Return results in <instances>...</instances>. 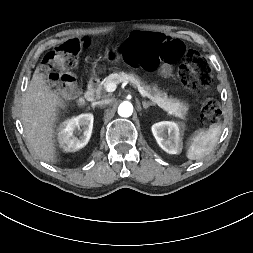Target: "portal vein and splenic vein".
I'll list each match as a JSON object with an SVG mask.
<instances>
[{
    "mask_svg": "<svg viewBox=\"0 0 253 253\" xmlns=\"http://www.w3.org/2000/svg\"><path fill=\"white\" fill-rule=\"evenodd\" d=\"M132 83V82H131ZM133 85L135 86V87H137V89H138V91L140 92V94L142 95V96H145V91H144V89L140 86V85H136V84H134L133 83ZM116 88H117V85L115 84V83H109L108 85H107V87H106V91L107 92H114L115 90H116ZM170 114H178L176 111H174V110H172V111H168Z\"/></svg>",
    "mask_w": 253,
    "mask_h": 253,
    "instance_id": "portal-vein-and-splenic-vein-1",
    "label": "portal vein and splenic vein"
}]
</instances>
